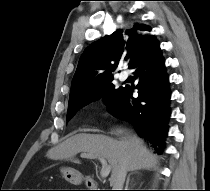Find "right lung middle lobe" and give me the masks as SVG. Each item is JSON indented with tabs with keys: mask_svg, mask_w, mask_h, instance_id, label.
I'll list each match as a JSON object with an SVG mask.
<instances>
[{
	"mask_svg": "<svg viewBox=\"0 0 210 191\" xmlns=\"http://www.w3.org/2000/svg\"><path fill=\"white\" fill-rule=\"evenodd\" d=\"M112 81L113 77H110L90 92L70 99L67 112V121L71 120L78 110L92 101L103 98L107 106L110 105L123 89V87L116 88Z\"/></svg>",
	"mask_w": 210,
	"mask_h": 191,
	"instance_id": "right-lung-middle-lobe-1",
	"label": "right lung middle lobe"
}]
</instances>
